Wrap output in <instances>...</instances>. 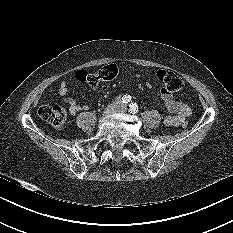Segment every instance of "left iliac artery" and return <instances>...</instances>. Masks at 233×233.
I'll use <instances>...</instances> for the list:
<instances>
[{"label":"left iliac artery","mask_w":233,"mask_h":233,"mask_svg":"<svg viewBox=\"0 0 233 233\" xmlns=\"http://www.w3.org/2000/svg\"><path fill=\"white\" fill-rule=\"evenodd\" d=\"M137 111H138V106H137V104H136V103H131V104L129 105V112H130L131 114H135V113H137Z\"/></svg>","instance_id":"44dca946"}]
</instances>
